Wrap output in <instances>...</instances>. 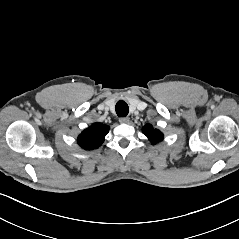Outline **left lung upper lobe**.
<instances>
[{
    "label": "left lung upper lobe",
    "mask_w": 239,
    "mask_h": 239,
    "mask_svg": "<svg viewBox=\"0 0 239 239\" xmlns=\"http://www.w3.org/2000/svg\"><path fill=\"white\" fill-rule=\"evenodd\" d=\"M143 133L148 137L152 144L158 143L163 139V133L153 129L152 125L146 124Z\"/></svg>",
    "instance_id": "1"
}]
</instances>
